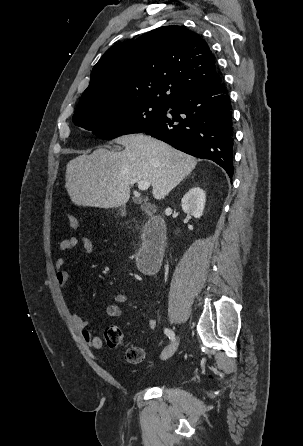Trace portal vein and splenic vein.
Listing matches in <instances>:
<instances>
[{
  "label": "portal vein and splenic vein",
  "mask_w": 303,
  "mask_h": 446,
  "mask_svg": "<svg viewBox=\"0 0 303 446\" xmlns=\"http://www.w3.org/2000/svg\"><path fill=\"white\" fill-rule=\"evenodd\" d=\"M137 184H138L139 190H141V191H146L150 187L149 181H140Z\"/></svg>",
  "instance_id": "18ae733b"
}]
</instances>
